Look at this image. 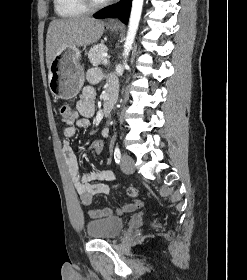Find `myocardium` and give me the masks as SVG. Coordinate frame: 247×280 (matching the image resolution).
I'll return each instance as SVG.
<instances>
[{
	"label": "myocardium",
	"instance_id": "1",
	"mask_svg": "<svg viewBox=\"0 0 247 280\" xmlns=\"http://www.w3.org/2000/svg\"><path fill=\"white\" fill-rule=\"evenodd\" d=\"M82 3L91 10L106 6L111 0H81Z\"/></svg>",
	"mask_w": 247,
	"mask_h": 280
}]
</instances>
